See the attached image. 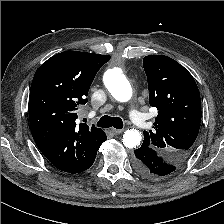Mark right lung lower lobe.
Returning <instances> with one entry per match:
<instances>
[{"instance_id":"98d812e1","label":"right lung lower lobe","mask_w":224,"mask_h":224,"mask_svg":"<svg viewBox=\"0 0 224 224\" xmlns=\"http://www.w3.org/2000/svg\"><path fill=\"white\" fill-rule=\"evenodd\" d=\"M95 158H96V156H95ZM95 158L87 165V167L85 168V170H87L88 168L91 167V165L94 163Z\"/></svg>"}]
</instances>
